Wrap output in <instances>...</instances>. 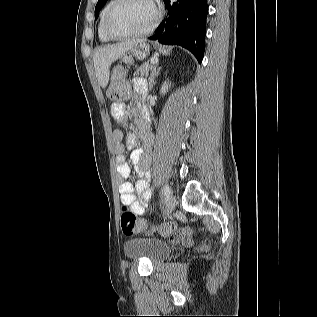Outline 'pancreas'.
<instances>
[{"label": "pancreas", "instance_id": "pancreas-1", "mask_svg": "<svg viewBox=\"0 0 317 317\" xmlns=\"http://www.w3.org/2000/svg\"><path fill=\"white\" fill-rule=\"evenodd\" d=\"M154 68V65L149 61H144L140 67L137 68L134 75L146 77L149 74V71H151Z\"/></svg>", "mask_w": 317, "mask_h": 317}]
</instances>
